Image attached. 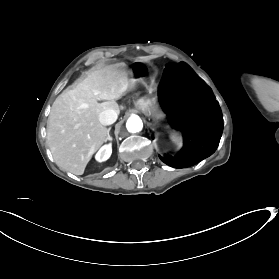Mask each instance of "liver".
I'll list each match as a JSON object with an SVG mask.
<instances>
[{
  "mask_svg": "<svg viewBox=\"0 0 279 279\" xmlns=\"http://www.w3.org/2000/svg\"><path fill=\"white\" fill-rule=\"evenodd\" d=\"M130 87L131 79L124 71L109 66L93 70L75 89L56 98L47 123V145L60 168L74 175L84 173L93 155L108 141L100 113L106 109L119 113L116 100Z\"/></svg>",
  "mask_w": 279,
  "mask_h": 279,
  "instance_id": "1",
  "label": "liver"
}]
</instances>
